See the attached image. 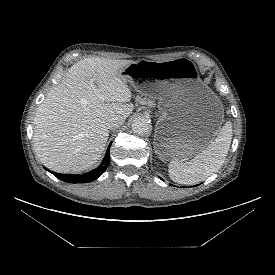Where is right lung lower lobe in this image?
Instances as JSON below:
<instances>
[{
	"mask_svg": "<svg viewBox=\"0 0 275 275\" xmlns=\"http://www.w3.org/2000/svg\"><path fill=\"white\" fill-rule=\"evenodd\" d=\"M110 145L108 146V149L106 151V155L101 163V165L95 169L92 170L88 173L82 174V175H65V174H60V173H55L52 171L51 172L53 175H55L57 178H59L60 180H63L65 182L68 183H88V182H92L95 179H97L100 175L103 174V172L106 170L108 164H109V160H110V155H109V150H110Z\"/></svg>",
	"mask_w": 275,
	"mask_h": 275,
	"instance_id": "right-lung-lower-lobe-1",
	"label": "right lung lower lobe"
}]
</instances>
